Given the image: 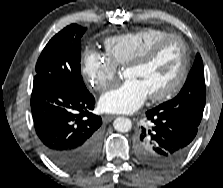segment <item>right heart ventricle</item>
<instances>
[{
  "label": "right heart ventricle",
  "mask_w": 223,
  "mask_h": 188,
  "mask_svg": "<svg viewBox=\"0 0 223 188\" xmlns=\"http://www.w3.org/2000/svg\"><path fill=\"white\" fill-rule=\"evenodd\" d=\"M169 34L158 28H144L135 32L115 35L105 41L108 57L116 66H126L139 52L149 44Z\"/></svg>",
  "instance_id": "obj_1"
}]
</instances>
